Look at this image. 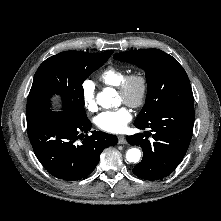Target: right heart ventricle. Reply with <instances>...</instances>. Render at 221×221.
Listing matches in <instances>:
<instances>
[{"mask_svg":"<svg viewBox=\"0 0 221 221\" xmlns=\"http://www.w3.org/2000/svg\"><path fill=\"white\" fill-rule=\"evenodd\" d=\"M125 76L126 72L124 69L109 66L100 74V80L106 85L118 88Z\"/></svg>","mask_w":221,"mask_h":221,"instance_id":"1","label":"right heart ventricle"}]
</instances>
